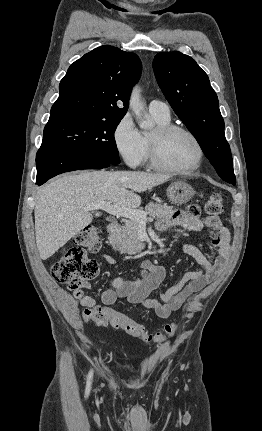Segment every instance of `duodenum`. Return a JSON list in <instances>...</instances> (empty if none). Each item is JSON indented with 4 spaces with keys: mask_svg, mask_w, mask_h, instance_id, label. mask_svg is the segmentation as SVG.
<instances>
[{
    "mask_svg": "<svg viewBox=\"0 0 262 431\" xmlns=\"http://www.w3.org/2000/svg\"><path fill=\"white\" fill-rule=\"evenodd\" d=\"M120 224L117 222H112L106 225V232L111 235H116L120 231Z\"/></svg>",
    "mask_w": 262,
    "mask_h": 431,
    "instance_id": "410a0bca",
    "label": "duodenum"
}]
</instances>
